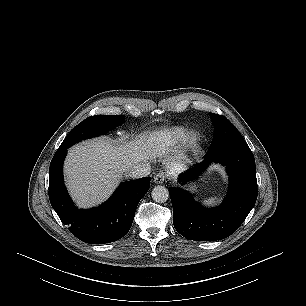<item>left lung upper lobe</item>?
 <instances>
[{"label": "left lung upper lobe", "instance_id": "obj_1", "mask_svg": "<svg viewBox=\"0 0 306 306\" xmlns=\"http://www.w3.org/2000/svg\"><path fill=\"white\" fill-rule=\"evenodd\" d=\"M214 125V137L209 150L231 145L247 144L236 127L224 116L210 113Z\"/></svg>", "mask_w": 306, "mask_h": 306}]
</instances>
